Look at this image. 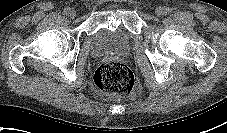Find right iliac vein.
I'll return each instance as SVG.
<instances>
[{
  "mask_svg": "<svg viewBox=\"0 0 227 133\" xmlns=\"http://www.w3.org/2000/svg\"><path fill=\"white\" fill-rule=\"evenodd\" d=\"M69 16H70L71 18H74V17L76 16L75 10H70Z\"/></svg>",
  "mask_w": 227,
  "mask_h": 133,
  "instance_id": "1",
  "label": "right iliac vein"
}]
</instances>
